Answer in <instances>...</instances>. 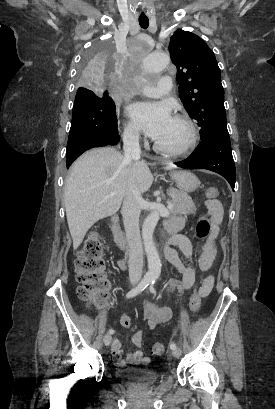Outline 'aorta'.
Here are the masks:
<instances>
[{
	"label": "aorta",
	"mask_w": 275,
	"mask_h": 409,
	"mask_svg": "<svg viewBox=\"0 0 275 409\" xmlns=\"http://www.w3.org/2000/svg\"><path fill=\"white\" fill-rule=\"evenodd\" d=\"M144 57L145 60H149L146 66L148 72L164 70L169 62V56H166L165 51H145ZM159 219V211H153L146 217L142 227L143 245L148 261V273L144 277L146 281H156L161 273V261L153 241L154 229Z\"/></svg>",
	"instance_id": "obj_1"
}]
</instances>
